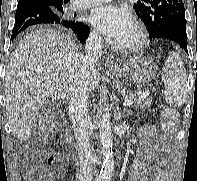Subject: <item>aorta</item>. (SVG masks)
Masks as SVG:
<instances>
[{"label":"aorta","mask_w":197,"mask_h":181,"mask_svg":"<svg viewBox=\"0 0 197 181\" xmlns=\"http://www.w3.org/2000/svg\"><path fill=\"white\" fill-rule=\"evenodd\" d=\"M110 124V115L106 112L100 121V142L104 162L96 181H111L114 171L113 142Z\"/></svg>","instance_id":"1"}]
</instances>
